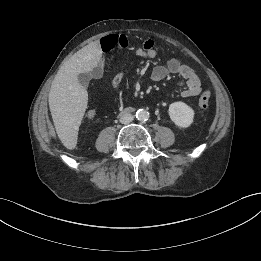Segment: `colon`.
<instances>
[{"mask_svg": "<svg viewBox=\"0 0 261 261\" xmlns=\"http://www.w3.org/2000/svg\"><path fill=\"white\" fill-rule=\"evenodd\" d=\"M211 98V92L209 90H204L199 98V108L201 110H206L209 105V101Z\"/></svg>", "mask_w": 261, "mask_h": 261, "instance_id": "colon-1", "label": "colon"}]
</instances>
